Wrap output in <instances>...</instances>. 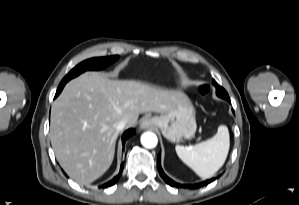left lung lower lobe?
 Returning a JSON list of instances; mask_svg holds the SVG:
<instances>
[{
	"label": "left lung lower lobe",
	"instance_id": "1",
	"mask_svg": "<svg viewBox=\"0 0 299 205\" xmlns=\"http://www.w3.org/2000/svg\"><path fill=\"white\" fill-rule=\"evenodd\" d=\"M226 99L227 101L230 102V99L229 98H224ZM234 112V111H233ZM157 166H158V171H159V174L160 176L164 179V181L172 186V187H177V188H199V187H202V186H205V185H208L209 183H211L213 180H215L214 178L212 179H209V180H206L204 182H201V183H197V184H194V185H187V184H179V183H176L174 182L172 179H170L169 177H167L165 175V173L163 172L162 168H161V161H160V154L158 155V159H157Z\"/></svg>",
	"mask_w": 299,
	"mask_h": 205
}]
</instances>
